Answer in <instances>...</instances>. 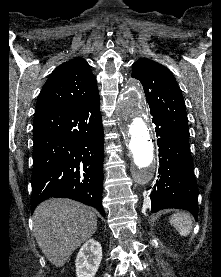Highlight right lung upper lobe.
Here are the masks:
<instances>
[{"label":"right lung upper lobe","instance_id":"1","mask_svg":"<svg viewBox=\"0 0 221 277\" xmlns=\"http://www.w3.org/2000/svg\"><path fill=\"white\" fill-rule=\"evenodd\" d=\"M98 96L89 64L82 58H74L51 73L39 95L36 111L74 107Z\"/></svg>","mask_w":221,"mask_h":277}]
</instances>
